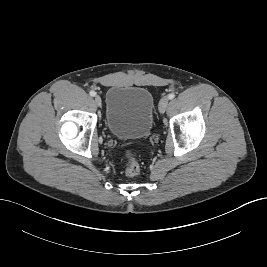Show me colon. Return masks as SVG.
I'll use <instances>...</instances> for the list:
<instances>
[{
  "label": "colon",
  "mask_w": 267,
  "mask_h": 267,
  "mask_svg": "<svg viewBox=\"0 0 267 267\" xmlns=\"http://www.w3.org/2000/svg\"><path fill=\"white\" fill-rule=\"evenodd\" d=\"M141 167L139 161L131 153L127 152L125 154V172L129 177H136L140 174Z\"/></svg>",
  "instance_id": "colon-1"
}]
</instances>
